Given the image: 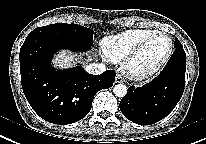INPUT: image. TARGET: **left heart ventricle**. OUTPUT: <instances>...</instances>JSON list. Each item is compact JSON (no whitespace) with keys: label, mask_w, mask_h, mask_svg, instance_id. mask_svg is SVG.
Wrapping results in <instances>:
<instances>
[{"label":"left heart ventricle","mask_w":206,"mask_h":144,"mask_svg":"<svg viewBox=\"0 0 206 144\" xmlns=\"http://www.w3.org/2000/svg\"><path fill=\"white\" fill-rule=\"evenodd\" d=\"M168 49L169 41L165 36L155 37L138 59V67L145 69L156 65L165 57Z\"/></svg>","instance_id":"left-heart-ventricle-1"}]
</instances>
